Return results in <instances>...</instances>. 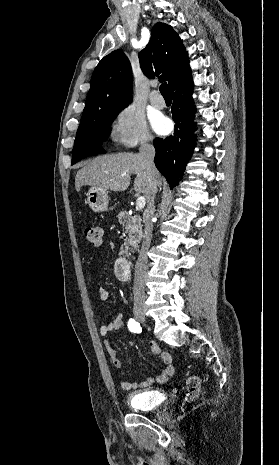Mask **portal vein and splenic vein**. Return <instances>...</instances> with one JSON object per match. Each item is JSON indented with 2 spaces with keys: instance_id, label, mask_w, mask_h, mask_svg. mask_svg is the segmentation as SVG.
Segmentation results:
<instances>
[{
  "instance_id": "18ae733b",
  "label": "portal vein and splenic vein",
  "mask_w": 279,
  "mask_h": 465,
  "mask_svg": "<svg viewBox=\"0 0 279 465\" xmlns=\"http://www.w3.org/2000/svg\"><path fill=\"white\" fill-rule=\"evenodd\" d=\"M145 203L146 200L144 196L138 197L136 200V211L142 210L145 207Z\"/></svg>"
}]
</instances>
